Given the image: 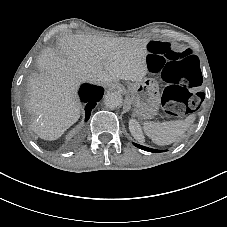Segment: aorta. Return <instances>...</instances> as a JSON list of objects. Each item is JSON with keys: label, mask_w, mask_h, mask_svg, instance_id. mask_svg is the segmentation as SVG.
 Returning a JSON list of instances; mask_svg holds the SVG:
<instances>
[{"label": "aorta", "mask_w": 227, "mask_h": 227, "mask_svg": "<svg viewBox=\"0 0 227 227\" xmlns=\"http://www.w3.org/2000/svg\"><path fill=\"white\" fill-rule=\"evenodd\" d=\"M104 102L109 108H117L122 105L123 97L121 93L117 91L107 92L104 97Z\"/></svg>", "instance_id": "1"}]
</instances>
